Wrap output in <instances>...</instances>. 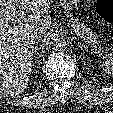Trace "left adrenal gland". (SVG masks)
<instances>
[{"mask_svg": "<svg viewBox=\"0 0 113 113\" xmlns=\"http://www.w3.org/2000/svg\"><path fill=\"white\" fill-rule=\"evenodd\" d=\"M77 43H78V47L82 50V49H83L84 44H83V43H81V42L79 41V39H77ZM84 47H85V46H84Z\"/></svg>", "mask_w": 113, "mask_h": 113, "instance_id": "left-adrenal-gland-1", "label": "left adrenal gland"}]
</instances>
